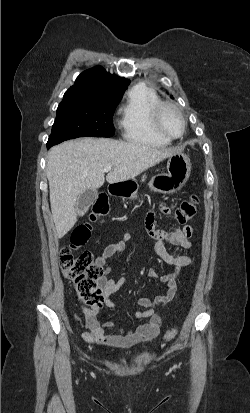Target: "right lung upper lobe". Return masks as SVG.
I'll return each mask as SVG.
<instances>
[{
  "label": "right lung upper lobe",
  "instance_id": "1",
  "mask_svg": "<svg viewBox=\"0 0 250 413\" xmlns=\"http://www.w3.org/2000/svg\"><path fill=\"white\" fill-rule=\"evenodd\" d=\"M129 81L108 73L103 67L96 66L81 73L70 89H82L113 95H123Z\"/></svg>",
  "mask_w": 250,
  "mask_h": 413
}]
</instances>
